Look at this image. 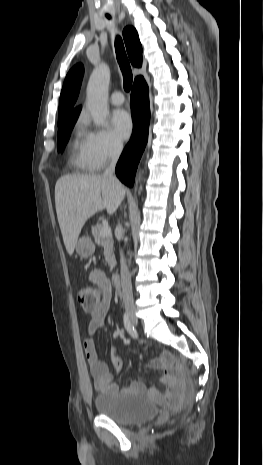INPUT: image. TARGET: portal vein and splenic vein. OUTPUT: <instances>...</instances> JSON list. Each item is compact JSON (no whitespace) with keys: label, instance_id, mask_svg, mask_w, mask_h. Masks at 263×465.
I'll return each instance as SVG.
<instances>
[{"label":"portal vein and splenic vein","instance_id":"portal-vein-and-splenic-vein-1","mask_svg":"<svg viewBox=\"0 0 263 465\" xmlns=\"http://www.w3.org/2000/svg\"><path fill=\"white\" fill-rule=\"evenodd\" d=\"M100 234L103 236V237H106L108 235L111 234V228L109 227L108 224H104L101 231H100Z\"/></svg>","mask_w":263,"mask_h":465}]
</instances>
